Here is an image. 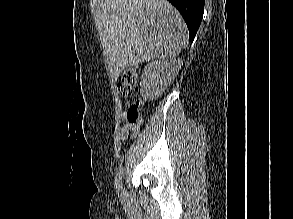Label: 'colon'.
Masks as SVG:
<instances>
[{
  "instance_id": "5ec220e1",
  "label": "colon",
  "mask_w": 293,
  "mask_h": 219,
  "mask_svg": "<svg viewBox=\"0 0 293 219\" xmlns=\"http://www.w3.org/2000/svg\"><path fill=\"white\" fill-rule=\"evenodd\" d=\"M139 81V73L135 68L125 70L117 84V90L120 95L130 97ZM142 103L139 100L130 102L124 111V121L136 129L141 123L140 110Z\"/></svg>"
}]
</instances>
